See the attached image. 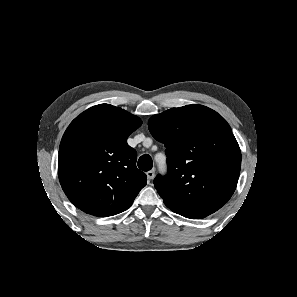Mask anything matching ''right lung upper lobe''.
Segmentation results:
<instances>
[{
    "label": "right lung upper lobe",
    "mask_w": 297,
    "mask_h": 297,
    "mask_svg": "<svg viewBox=\"0 0 297 297\" xmlns=\"http://www.w3.org/2000/svg\"><path fill=\"white\" fill-rule=\"evenodd\" d=\"M141 124L137 116L109 104L93 106L71 122L60 143L58 175L76 207L108 217L132 205L147 179L127 138Z\"/></svg>",
    "instance_id": "cb5924a9"
}]
</instances>
